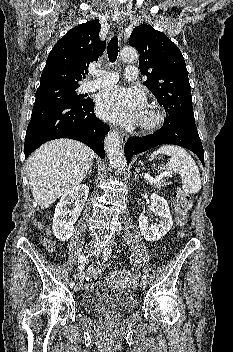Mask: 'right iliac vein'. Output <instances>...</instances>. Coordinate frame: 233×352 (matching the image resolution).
<instances>
[{
  "label": "right iliac vein",
  "instance_id": "63e3f726",
  "mask_svg": "<svg viewBox=\"0 0 233 352\" xmlns=\"http://www.w3.org/2000/svg\"><path fill=\"white\" fill-rule=\"evenodd\" d=\"M86 251H87V253H89V254H95L96 251H97V247L94 246V245H92V244H90V245L87 246ZM74 290H75V291H79V290H80V285H79V284L76 285V286L74 287Z\"/></svg>",
  "mask_w": 233,
  "mask_h": 352
}]
</instances>
